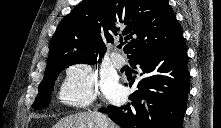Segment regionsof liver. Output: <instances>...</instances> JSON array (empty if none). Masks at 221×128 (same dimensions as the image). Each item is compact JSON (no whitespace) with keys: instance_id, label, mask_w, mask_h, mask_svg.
<instances>
[{"instance_id":"1","label":"liver","mask_w":221,"mask_h":128,"mask_svg":"<svg viewBox=\"0 0 221 128\" xmlns=\"http://www.w3.org/2000/svg\"><path fill=\"white\" fill-rule=\"evenodd\" d=\"M53 128H98L95 115L89 112H81L63 117ZM109 128H118L109 121Z\"/></svg>"}]
</instances>
